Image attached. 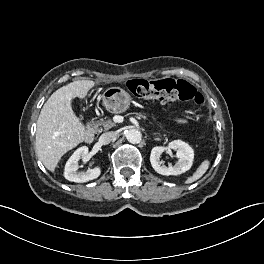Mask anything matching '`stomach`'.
<instances>
[{
  "label": "stomach",
  "instance_id": "stomach-1",
  "mask_svg": "<svg viewBox=\"0 0 264 264\" xmlns=\"http://www.w3.org/2000/svg\"><path fill=\"white\" fill-rule=\"evenodd\" d=\"M101 98L105 109L116 114L125 112L131 102L130 95L121 87L107 88Z\"/></svg>",
  "mask_w": 264,
  "mask_h": 264
}]
</instances>
